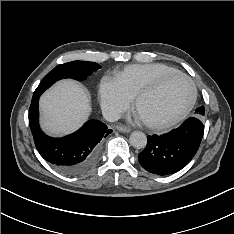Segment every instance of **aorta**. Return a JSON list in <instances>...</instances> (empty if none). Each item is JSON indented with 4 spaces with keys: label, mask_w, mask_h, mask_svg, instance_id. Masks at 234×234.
<instances>
[{
    "label": "aorta",
    "mask_w": 234,
    "mask_h": 234,
    "mask_svg": "<svg viewBox=\"0 0 234 234\" xmlns=\"http://www.w3.org/2000/svg\"><path fill=\"white\" fill-rule=\"evenodd\" d=\"M130 144L137 149H142L147 144V137L141 131H134L131 133L129 138Z\"/></svg>",
    "instance_id": "1"
}]
</instances>
